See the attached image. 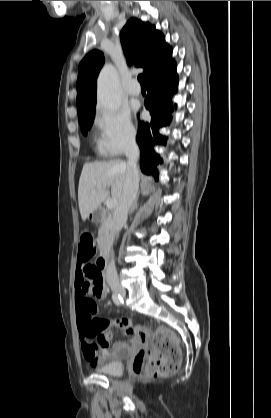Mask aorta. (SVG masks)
Masks as SVG:
<instances>
[{
    "label": "aorta",
    "instance_id": "1",
    "mask_svg": "<svg viewBox=\"0 0 271 418\" xmlns=\"http://www.w3.org/2000/svg\"><path fill=\"white\" fill-rule=\"evenodd\" d=\"M97 97L101 106L108 110H118L121 105V92L117 71L112 65H105L97 80Z\"/></svg>",
    "mask_w": 271,
    "mask_h": 418
}]
</instances>
